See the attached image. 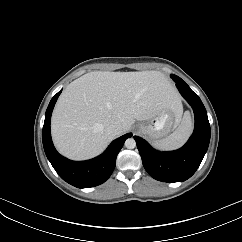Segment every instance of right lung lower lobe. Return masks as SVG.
Returning <instances> with one entry per match:
<instances>
[{"label": "right lung lower lobe", "mask_w": 242, "mask_h": 242, "mask_svg": "<svg viewBox=\"0 0 242 242\" xmlns=\"http://www.w3.org/2000/svg\"><path fill=\"white\" fill-rule=\"evenodd\" d=\"M61 92L62 90L52 98L45 114L42 141L46 156L58 175L67 183L78 188L100 185L112 174L116 165V157L125 140L131 137L132 133L114 140L103 154L91 160L76 162L61 156L54 148L50 134L51 114Z\"/></svg>", "instance_id": "obj_1"}]
</instances>
